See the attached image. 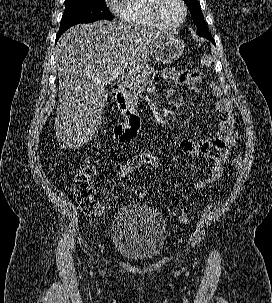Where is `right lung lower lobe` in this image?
I'll use <instances>...</instances> for the list:
<instances>
[{
	"mask_svg": "<svg viewBox=\"0 0 272 303\" xmlns=\"http://www.w3.org/2000/svg\"><path fill=\"white\" fill-rule=\"evenodd\" d=\"M63 33H58L57 36H56V42L57 40L59 39V37L62 35Z\"/></svg>",
	"mask_w": 272,
	"mask_h": 303,
	"instance_id": "1",
	"label": "right lung lower lobe"
}]
</instances>
